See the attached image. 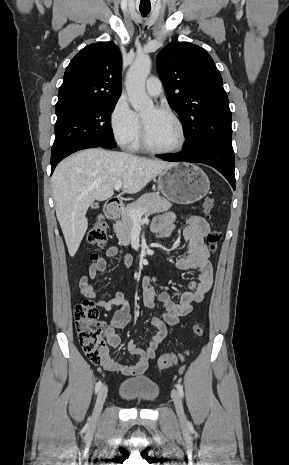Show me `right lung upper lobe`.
<instances>
[{"mask_svg":"<svg viewBox=\"0 0 289 465\" xmlns=\"http://www.w3.org/2000/svg\"><path fill=\"white\" fill-rule=\"evenodd\" d=\"M122 57L112 42L84 47L66 68L56 107L118 99Z\"/></svg>","mask_w":289,"mask_h":465,"instance_id":"cb5924a9","label":"right lung upper lobe"}]
</instances>
